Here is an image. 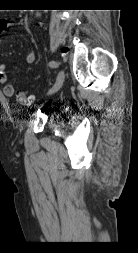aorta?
<instances>
[{
    "instance_id": "aorta-1",
    "label": "aorta",
    "mask_w": 138,
    "mask_h": 253,
    "mask_svg": "<svg viewBox=\"0 0 138 253\" xmlns=\"http://www.w3.org/2000/svg\"><path fill=\"white\" fill-rule=\"evenodd\" d=\"M37 16H40V14H39V13H37Z\"/></svg>"
}]
</instances>
